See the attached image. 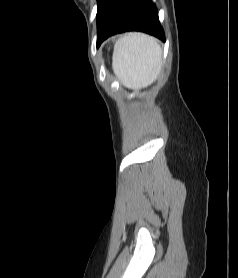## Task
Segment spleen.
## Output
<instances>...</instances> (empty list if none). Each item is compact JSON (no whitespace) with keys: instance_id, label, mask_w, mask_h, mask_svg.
<instances>
[{"instance_id":"3e777b00","label":"spleen","mask_w":238,"mask_h":278,"mask_svg":"<svg viewBox=\"0 0 238 278\" xmlns=\"http://www.w3.org/2000/svg\"><path fill=\"white\" fill-rule=\"evenodd\" d=\"M161 65L162 50L155 38L133 32L117 41L112 66L126 87H147L159 75Z\"/></svg>"}]
</instances>
